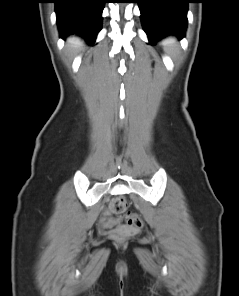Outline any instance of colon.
I'll use <instances>...</instances> for the list:
<instances>
[{"label":"colon","instance_id":"1","mask_svg":"<svg viewBox=\"0 0 239 296\" xmlns=\"http://www.w3.org/2000/svg\"><path fill=\"white\" fill-rule=\"evenodd\" d=\"M127 203L123 197L113 198L109 204V210L119 216V220L124 219L126 223L134 228H140L143 224L142 219L136 213H127Z\"/></svg>","mask_w":239,"mask_h":296}]
</instances>
